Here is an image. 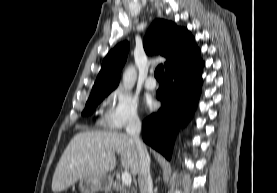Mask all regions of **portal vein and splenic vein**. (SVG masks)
Segmentation results:
<instances>
[{
  "label": "portal vein and splenic vein",
  "mask_w": 277,
  "mask_h": 193,
  "mask_svg": "<svg viewBox=\"0 0 277 193\" xmlns=\"http://www.w3.org/2000/svg\"><path fill=\"white\" fill-rule=\"evenodd\" d=\"M103 156H106L104 153ZM132 182L131 174L128 171L122 172V183L124 185L130 186Z\"/></svg>",
  "instance_id": "obj_1"
}]
</instances>
